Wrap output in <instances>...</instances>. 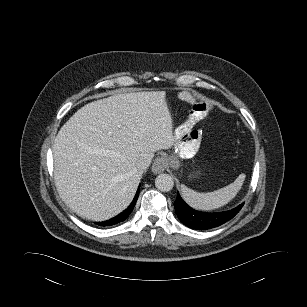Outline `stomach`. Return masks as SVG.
Segmentation results:
<instances>
[{
  "instance_id": "1",
  "label": "stomach",
  "mask_w": 307,
  "mask_h": 307,
  "mask_svg": "<svg viewBox=\"0 0 307 307\" xmlns=\"http://www.w3.org/2000/svg\"><path fill=\"white\" fill-rule=\"evenodd\" d=\"M201 135L199 132L190 134L186 138L179 139L176 137L175 149L176 155L167 158L168 165L173 169H178L181 166L179 158H190L199 149ZM200 175V170L192 171L189 175L190 178H195Z\"/></svg>"
}]
</instances>
